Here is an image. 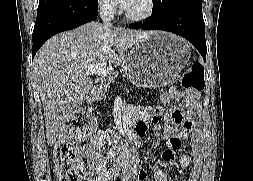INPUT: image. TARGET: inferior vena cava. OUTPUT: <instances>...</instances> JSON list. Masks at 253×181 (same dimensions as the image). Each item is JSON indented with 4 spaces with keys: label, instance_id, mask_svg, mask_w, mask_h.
Masks as SVG:
<instances>
[{
    "label": "inferior vena cava",
    "instance_id": "602c4592",
    "mask_svg": "<svg viewBox=\"0 0 253 181\" xmlns=\"http://www.w3.org/2000/svg\"><path fill=\"white\" fill-rule=\"evenodd\" d=\"M115 7L113 6H102L100 9V17L102 21L108 25H111V20L114 17Z\"/></svg>",
    "mask_w": 253,
    "mask_h": 181
}]
</instances>
